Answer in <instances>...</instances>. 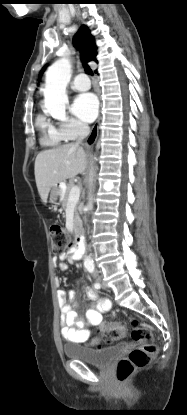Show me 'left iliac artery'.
Masks as SVG:
<instances>
[{"label": "left iliac artery", "instance_id": "obj_1", "mask_svg": "<svg viewBox=\"0 0 187 415\" xmlns=\"http://www.w3.org/2000/svg\"><path fill=\"white\" fill-rule=\"evenodd\" d=\"M86 268H87V270H88L90 273H93L94 275H97V271L95 270V266H94L93 264L88 265ZM94 287H95L96 289H99V288H100V284L97 282V283H95Z\"/></svg>", "mask_w": 187, "mask_h": 415}]
</instances>
